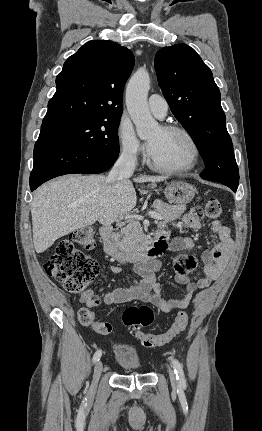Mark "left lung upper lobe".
Masks as SVG:
<instances>
[{
	"label": "left lung upper lobe",
	"instance_id": "5c2ea615",
	"mask_svg": "<svg viewBox=\"0 0 262 431\" xmlns=\"http://www.w3.org/2000/svg\"><path fill=\"white\" fill-rule=\"evenodd\" d=\"M155 69L172 113L204 159L202 178L238 188L232 140L226 129L220 91L209 67L190 46L176 44L157 52Z\"/></svg>",
	"mask_w": 262,
	"mask_h": 431
}]
</instances>
